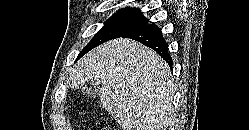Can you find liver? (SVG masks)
I'll return each mask as SVG.
<instances>
[{
	"mask_svg": "<svg viewBox=\"0 0 249 130\" xmlns=\"http://www.w3.org/2000/svg\"><path fill=\"white\" fill-rule=\"evenodd\" d=\"M99 84L105 110L123 130H167L173 120L174 83L168 64L130 39L106 42L83 56L69 85Z\"/></svg>",
	"mask_w": 249,
	"mask_h": 130,
	"instance_id": "6515ba94",
	"label": "liver"
}]
</instances>
